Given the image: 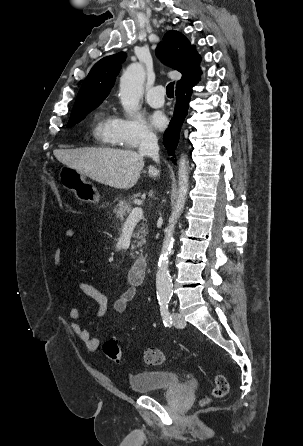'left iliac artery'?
I'll return each mask as SVG.
<instances>
[{"mask_svg": "<svg viewBox=\"0 0 303 446\" xmlns=\"http://www.w3.org/2000/svg\"><path fill=\"white\" fill-rule=\"evenodd\" d=\"M168 304V299H162L159 301L160 313L163 319V323L166 327H170L172 325V318L169 312Z\"/></svg>", "mask_w": 303, "mask_h": 446, "instance_id": "obj_1", "label": "left iliac artery"}]
</instances>
